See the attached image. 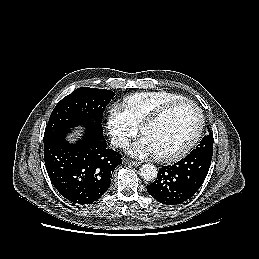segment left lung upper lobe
Segmentation results:
<instances>
[{
    "label": "left lung upper lobe",
    "instance_id": "1",
    "mask_svg": "<svg viewBox=\"0 0 259 259\" xmlns=\"http://www.w3.org/2000/svg\"><path fill=\"white\" fill-rule=\"evenodd\" d=\"M208 135L203 137L200 144L190 153L191 155H201L212 159L213 155V134L208 128Z\"/></svg>",
    "mask_w": 259,
    "mask_h": 259
}]
</instances>
